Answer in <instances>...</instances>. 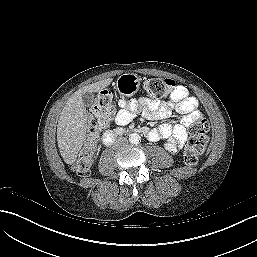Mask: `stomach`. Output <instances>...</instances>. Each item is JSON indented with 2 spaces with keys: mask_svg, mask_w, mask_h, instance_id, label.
I'll return each instance as SVG.
<instances>
[{
  "mask_svg": "<svg viewBox=\"0 0 257 257\" xmlns=\"http://www.w3.org/2000/svg\"><path fill=\"white\" fill-rule=\"evenodd\" d=\"M140 80L137 74L125 73L117 79L116 88L120 95L131 97L139 90Z\"/></svg>",
  "mask_w": 257,
  "mask_h": 257,
  "instance_id": "stomach-1",
  "label": "stomach"
}]
</instances>
